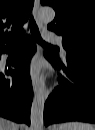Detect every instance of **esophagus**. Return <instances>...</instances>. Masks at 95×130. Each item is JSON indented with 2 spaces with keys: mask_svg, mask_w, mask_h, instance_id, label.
<instances>
[{
  "mask_svg": "<svg viewBox=\"0 0 95 130\" xmlns=\"http://www.w3.org/2000/svg\"><path fill=\"white\" fill-rule=\"evenodd\" d=\"M39 7H40V1L35 0V2H34V10H33L34 17H35V20H36L38 26L42 29L44 26H43L42 21L38 17ZM38 84H39V78L37 76H34V78L32 80V86H33V90H34L35 93L38 90Z\"/></svg>",
  "mask_w": 95,
  "mask_h": 130,
  "instance_id": "1",
  "label": "esophagus"
}]
</instances>
